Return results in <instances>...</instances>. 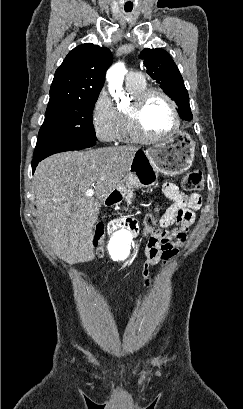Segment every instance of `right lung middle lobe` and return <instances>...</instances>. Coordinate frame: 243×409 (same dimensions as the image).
<instances>
[{"label":"right lung middle lobe","mask_w":243,"mask_h":409,"mask_svg":"<svg viewBox=\"0 0 243 409\" xmlns=\"http://www.w3.org/2000/svg\"><path fill=\"white\" fill-rule=\"evenodd\" d=\"M97 99L49 102L38 139L96 140L92 111Z\"/></svg>","instance_id":"obj_1"}]
</instances>
